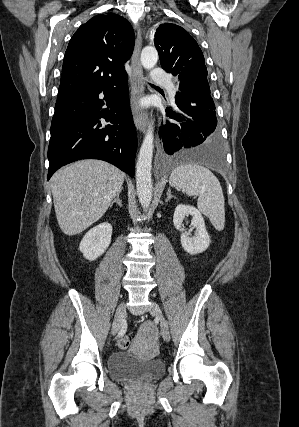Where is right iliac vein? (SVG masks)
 <instances>
[{
	"mask_svg": "<svg viewBox=\"0 0 299 427\" xmlns=\"http://www.w3.org/2000/svg\"><path fill=\"white\" fill-rule=\"evenodd\" d=\"M125 313H126L125 302H121L116 310L113 325H112L111 333L113 336H115L119 332L122 326L123 318L125 317Z\"/></svg>",
	"mask_w": 299,
	"mask_h": 427,
	"instance_id": "63e3f726",
	"label": "right iliac vein"
}]
</instances>
